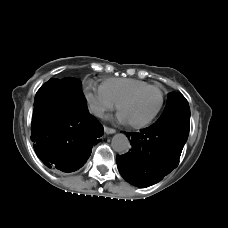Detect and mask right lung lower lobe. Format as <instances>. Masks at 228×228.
<instances>
[{
	"mask_svg": "<svg viewBox=\"0 0 228 228\" xmlns=\"http://www.w3.org/2000/svg\"><path fill=\"white\" fill-rule=\"evenodd\" d=\"M103 132V126L89 114L83 94L69 101L62 89L49 81L36 93L31 139L37 156L49 168L79 169Z\"/></svg>",
	"mask_w": 228,
	"mask_h": 228,
	"instance_id": "obj_1",
	"label": "right lung lower lobe"
}]
</instances>
